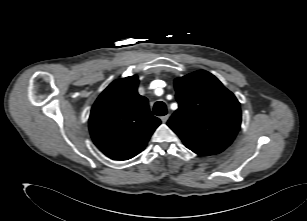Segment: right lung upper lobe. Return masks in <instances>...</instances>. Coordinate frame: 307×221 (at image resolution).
<instances>
[{
    "label": "right lung upper lobe",
    "mask_w": 307,
    "mask_h": 221,
    "mask_svg": "<svg viewBox=\"0 0 307 221\" xmlns=\"http://www.w3.org/2000/svg\"><path fill=\"white\" fill-rule=\"evenodd\" d=\"M138 77L112 82L94 103L89 130L94 144L109 158L128 160L140 153L161 121L137 92Z\"/></svg>",
    "instance_id": "obj_1"
}]
</instances>
